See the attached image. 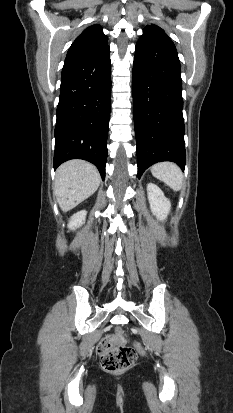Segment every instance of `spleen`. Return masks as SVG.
Returning <instances> with one entry per match:
<instances>
[{"label":"spleen","instance_id":"3e777b00","mask_svg":"<svg viewBox=\"0 0 233 413\" xmlns=\"http://www.w3.org/2000/svg\"><path fill=\"white\" fill-rule=\"evenodd\" d=\"M151 173L174 191H179L183 184L180 168L172 162H160L151 167Z\"/></svg>","mask_w":233,"mask_h":413}]
</instances>
